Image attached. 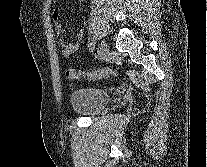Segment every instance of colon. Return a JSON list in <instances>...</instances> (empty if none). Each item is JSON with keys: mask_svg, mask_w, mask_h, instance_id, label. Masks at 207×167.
<instances>
[{"mask_svg": "<svg viewBox=\"0 0 207 167\" xmlns=\"http://www.w3.org/2000/svg\"><path fill=\"white\" fill-rule=\"evenodd\" d=\"M118 71L114 68H98L88 71H82L78 69H68L66 71V76L70 80H79V79H87V80H100L105 79L112 76H117Z\"/></svg>", "mask_w": 207, "mask_h": 167, "instance_id": "obj_1", "label": "colon"}]
</instances>
